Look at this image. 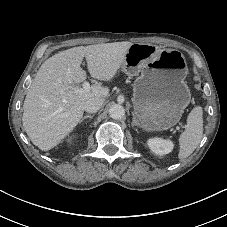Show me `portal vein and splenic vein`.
Returning <instances> with one entry per match:
<instances>
[{
    "label": "portal vein and splenic vein",
    "instance_id": "obj_1",
    "mask_svg": "<svg viewBox=\"0 0 227 227\" xmlns=\"http://www.w3.org/2000/svg\"><path fill=\"white\" fill-rule=\"evenodd\" d=\"M82 86H83L82 89H83L84 91H89V89H90V84H89L88 81H84ZM178 129H180V128L177 127V130H178Z\"/></svg>",
    "mask_w": 227,
    "mask_h": 227
}]
</instances>
